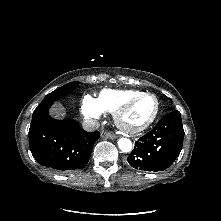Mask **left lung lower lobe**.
I'll return each mask as SVG.
<instances>
[{"label":"left lung lower lobe","mask_w":221,"mask_h":221,"mask_svg":"<svg viewBox=\"0 0 221 221\" xmlns=\"http://www.w3.org/2000/svg\"><path fill=\"white\" fill-rule=\"evenodd\" d=\"M184 129L179 111L163 116L156 127L135 142L128 163L144 171H161L168 168L179 156Z\"/></svg>","instance_id":"1"}]
</instances>
